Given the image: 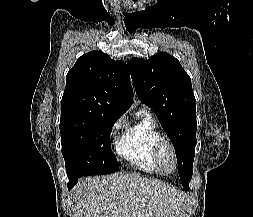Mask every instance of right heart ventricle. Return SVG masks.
Segmentation results:
<instances>
[{"label": "right heart ventricle", "mask_w": 253, "mask_h": 217, "mask_svg": "<svg viewBox=\"0 0 253 217\" xmlns=\"http://www.w3.org/2000/svg\"><path fill=\"white\" fill-rule=\"evenodd\" d=\"M162 139L156 122L148 112H141V117L134 124L126 127L116 142V151L123 159L138 169L153 174H160L154 156V146Z\"/></svg>", "instance_id": "1"}]
</instances>
